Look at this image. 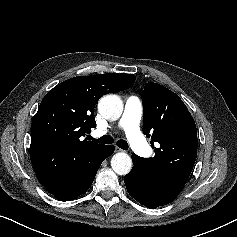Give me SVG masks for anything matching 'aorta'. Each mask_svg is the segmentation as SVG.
Wrapping results in <instances>:
<instances>
[{
    "mask_svg": "<svg viewBox=\"0 0 237 237\" xmlns=\"http://www.w3.org/2000/svg\"><path fill=\"white\" fill-rule=\"evenodd\" d=\"M98 111L109 120H117L123 111V104L117 95L103 96L98 102ZM111 167L118 175H126L132 167V160L126 153H116L111 159Z\"/></svg>",
    "mask_w": 237,
    "mask_h": 237,
    "instance_id": "762f6f07",
    "label": "aorta"
}]
</instances>
